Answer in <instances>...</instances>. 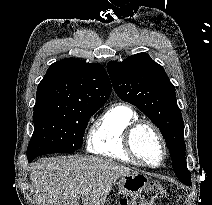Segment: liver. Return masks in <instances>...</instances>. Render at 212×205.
Here are the masks:
<instances>
[{
  "label": "liver",
  "mask_w": 212,
  "mask_h": 205,
  "mask_svg": "<svg viewBox=\"0 0 212 205\" xmlns=\"http://www.w3.org/2000/svg\"><path fill=\"white\" fill-rule=\"evenodd\" d=\"M128 167L95 156L43 158L31 167L38 205H103L115 181L132 174Z\"/></svg>",
  "instance_id": "obj_1"
}]
</instances>
